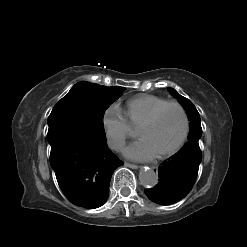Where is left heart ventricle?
<instances>
[{"instance_id":"obj_1","label":"left heart ventricle","mask_w":247,"mask_h":247,"mask_svg":"<svg viewBox=\"0 0 247 247\" xmlns=\"http://www.w3.org/2000/svg\"><path fill=\"white\" fill-rule=\"evenodd\" d=\"M183 130V120L175 107L166 108L150 126L139 127L137 136L148 142L155 154L171 148Z\"/></svg>"}]
</instances>
